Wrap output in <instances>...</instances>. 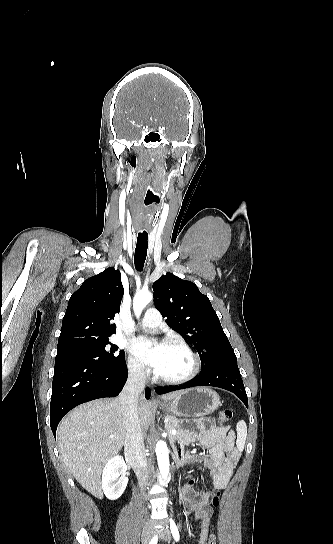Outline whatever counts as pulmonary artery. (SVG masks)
<instances>
[{
	"label": "pulmonary artery",
	"instance_id": "obj_1",
	"mask_svg": "<svg viewBox=\"0 0 333 544\" xmlns=\"http://www.w3.org/2000/svg\"><path fill=\"white\" fill-rule=\"evenodd\" d=\"M162 324L163 322L161 315L159 311L155 308H149L146 311L144 318L141 322L142 326L152 329L160 328Z\"/></svg>",
	"mask_w": 333,
	"mask_h": 544
}]
</instances>
